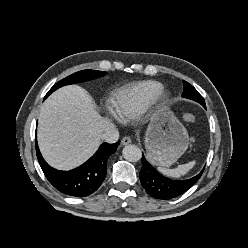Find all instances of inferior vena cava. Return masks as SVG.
<instances>
[{"mask_svg": "<svg viewBox=\"0 0 248 248\" xmlns=\"http://www.w3.org/2000/svg\"><path fill=\"white\" fill-rule=\"evenodd\" d=\"M102 139L107 143H115L119 139V131L117 128H107L102 135Z\"/></svg>", "mask_w": 248, "mask_h": 248, "instance_id": "obj_1", "label": "inferior vena cava"}]
</instances>
